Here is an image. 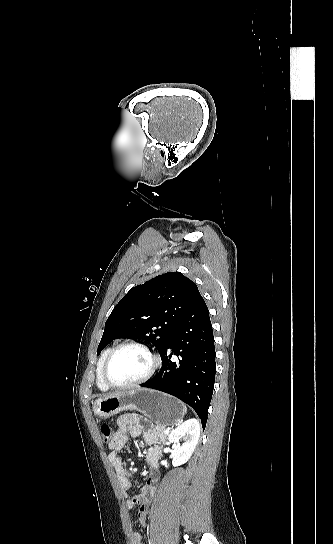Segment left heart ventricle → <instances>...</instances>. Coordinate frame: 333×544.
<instances>
[{"label": "left heart ventricle", "mask_w": 333, "mask_h": 544, "mask_svg": "<svg viewBox=\"0 0 333 544\" xmlns=\"http://www.w3.org/2000/svg\"><path fill=\"white\" fill-rule=\"evenodd\" d=\"M149 366L150 359L145 352L137 348H124L113 357L108 377L117 384L128 383L142 377Z\"/></svg>", "instance_id": "obj_1"}]
</instances>
